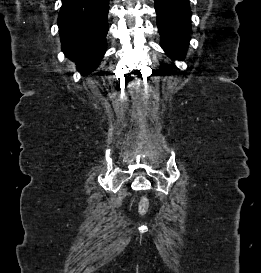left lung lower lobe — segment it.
Wrapping results in <instances>:
<instances>
[{
	"mask_svg": "<svg viewBox=\"0 0 261 273\" xmlns=\"http://www.w3.org/2000/svg\"><path fill=\"white\" fill-rule=\"evenodd\" d=\"M161 47L171 58L185 57L191 32L189 0H155Z\"/></svg>",
	"mask_w": 261,
	"mask_h": 273,
	"instance_id": "1",
	"label": "left lung lower lobe"
}]
</instances>
